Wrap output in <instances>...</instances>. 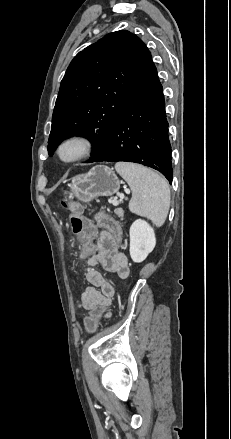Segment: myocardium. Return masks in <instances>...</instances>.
Wrapping results in <instances>:
<instances>
[{
	"label": "myocardium",
	"mask_w": 231,
	"mask_h": 439,
	"mask_svg": "<svg viewBox=\"0 0 231 439\" xmlns=\"http://www.w3.org/2000/svg\"><path fill=\"white\" fill-rule=\"evenodd\" d=\"M69 146H76L78 148L76 154L71 157H64L63 151ZM93 141L86 135L73 134L62 139L55 150L57 160L65 165L77 163L87 158L93 151Z\"/></svg>",
	"instance_id": "obj_1"
}]
</instances>
